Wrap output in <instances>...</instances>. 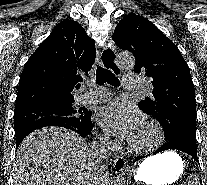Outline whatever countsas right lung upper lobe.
I'll return each instance as SVG.
<instances>
[{
  "mask_svg": "<svg viewBox=\"0 0 207 185\" xmlns=\"http://www.w3.org/2000/svg\"><path fill=\"white\" fill-rule=\"evenodd\" d=\"M94 41L74 20L58 23L28 59L19 81L15 111L42 104H72V91L88 77Z\"/></svg>",
  "mask_w": 207,
  "mask_h": 185,
  "instance_id": "1",
  "label": "right lung upper lobe"
}]
</instances>
